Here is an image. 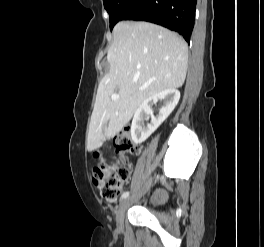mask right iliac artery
Instances as JSON below:
<instances>
[{
  "label": "right iliac artery",
  "mask_w": 264,
  "mask_h": 247,
  "mask_svg": "<svg viewBox=\"0 0 264 247\" xmlns=\"http://www.w3.org/2000/svg\"><path fill=\"white\" fill-rule=\"evenodd\" d=\"M129 196V192H124L121 196V199H125Z\"/></svg>",
  "instance_id": "obj_1"
}]
</instances>
